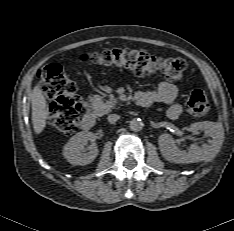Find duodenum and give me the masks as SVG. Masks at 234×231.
<instances>
[{
    "instance_id": "410a0bca",
    "label": "duodenum",
    "mask_w": 234,
    "mask_h": 231,
    "mask_svg": "<svg viewBox=\"0 0 234 231\" xmlns=\"http://www.w3.org/2000/svg\"><path fill=\"white\" fill-rule=\"evenodd\" d=\"M134 101L138 106L141 107H149L151 104L148 98H146L145 96L139 93L135 94ZM94 125H95V115L91 112L84 114L81 120V127L84 130H90L94 127Z\"/></svg>"
}]
</instances>
